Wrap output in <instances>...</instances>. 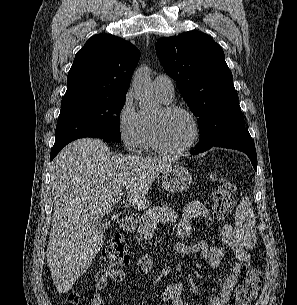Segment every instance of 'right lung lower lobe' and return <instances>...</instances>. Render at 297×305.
Listing matches in <instances>:
<instances>
[{
	"label": "right lung lower lobe",
	"mask_w": 297,
	"mask_h": 305,
	"mask_svg": "<svg viewBox=\"0 0 297 305\" xmlns=\"http://www.w3.org/2000/svg\"><path fill=\"white\" fill-rule=\"evenodd\" d=\"M104 140H107V141H112L110 139H105L103 138ZM62 148H52V151H51V154H50V161L53 160V158L59 153V151L61 150Z\"/></svg>",
	"instance_id": "obj_1"
}]
</instances>
